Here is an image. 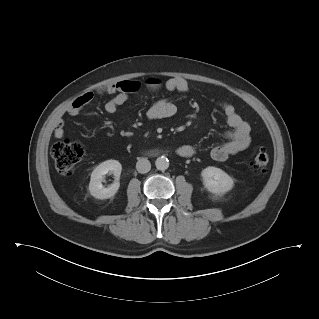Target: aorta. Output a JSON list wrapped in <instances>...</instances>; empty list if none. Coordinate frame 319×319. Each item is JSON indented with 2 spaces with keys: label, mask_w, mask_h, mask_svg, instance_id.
Masks as SVG:
<instances>
[{
  "label": "aorta",
  "mask_w": 319,
  "mask_h": 319,
  "mask_svg": "<svg viewBox=\"0 0 319 319\" xmlns=\"http://www.w3.org/2000/svg\"><path fill=\"white\" fill-rule=\"evenodd\" d=\"M155 165L159 170H166L169 167V160L164 156L158 157L155 161Z\"/></svg>",
  "instance_id": "obj_1"
}]
</instances>
